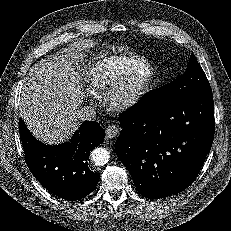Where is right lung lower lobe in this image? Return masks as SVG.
Wrapping results in <instances>:
<instances>
[{"mask_svg":"<svg viewBox=\"0 0 231 231\" xmlns=\"http://www.w3.org/2000/svg\"><path fill=\"white\" fill-rule=\"evenodd\" d=\"M25 161L31 173L52 194L75 201L90 194L100 175L88 167L90 151L104 141V130L96 121H86L69 142L46 145L35 139L19 119Z\"/></svg>","mask_w":231,"mask_h":231,"instance_id":"right-lung-lower-lobe-1","label":"right lung lower lobe"}]
</instances>
